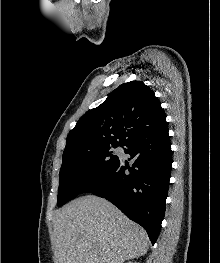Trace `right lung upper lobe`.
<instances>
[{"label":"right lung upper lobe","mask_w":220,"mask_h":263,"mask_svg":"<svg viewBox=\"0 0 220 263\" xmlns=\"http://www.w3.org/2000/svg\"><path fill=\"white\" fill-rule=\"evenodd\" d=\"M167 130L166 114L154 92L142 81H131L79 119L67 136L63 154L125 146L138 137L155 138Z\"/></svg>","instance_id":"1"}]
</instances>
